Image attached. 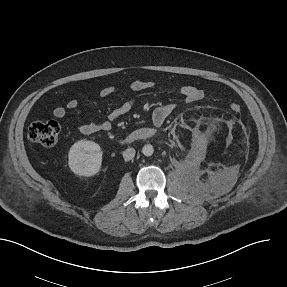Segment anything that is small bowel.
Here are the masks:
<instances>
[{
	"label": "small bowel",
	"mask_w": 287,
	"mask_h": 287,
	"mask_svg": "<svg viewBox=\"0 0 287 287\" xmlns=\"http://www.w3.org/2000/svg\"><path fill=\"white\" fill-rule=\"evenodd\" d=\"M153 87L151 81L135 79L130 82L129 89L135 92L149 90ZM116 92V88L113 86H106L100 90L102 97H107ZM180 92L187 103H195L204 98V91L193 85H184L181 87ZM134 98H128L121 104L115 107L109 114L106 121L95 123L88 122L82 123L79 126V131L85 135L97 133L99 131H109L112 128L113 123L128 114L134 107ZM78 101L76 99L69 100L65 105H58L54 108V116L61 119L64 118L68 110L77 108ZM176 108L175 102L166 103L157 107L152 115V121L155 127L159 128L164 125L168 117L174 112Z\"/></svg>",
	"instance_id": "small-bowel-1"
}]
</instances>
